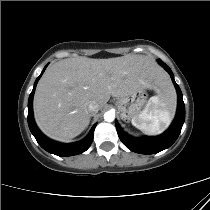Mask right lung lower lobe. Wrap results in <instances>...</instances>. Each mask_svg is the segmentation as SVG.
Wrapping results in <instances>:
<instances>
[{"mask_svg": "<svg viewBox=\"0 0 210 210\" xmlns=\"http://www.w3.org/2000/svg\"><path fill=\"white\" fill-rule=\"evenodd\" d=\"M47 66L44 67L42 73L40 76L36 79L34 83V88L29 96L28 100V125L30 128L31 133L34 135L35 139L39 143V145L45 149L46 151L58 155V156H73V155H78L80 153L85 152L89 146L92 143L93 136H94V129L96 124L92 127L90 130L88 136L79 142L75 143H70V144H63V143H58L55 141H52L45 137L40 130L37 128L34 118H33V109H32V101H33V96L36 88V84L40 77L42 76L43 72L45 71Z\"/></svg>", "mask_w": 210, "mask_h": 210, "instance_id": "1", "label": "right lung lower lobe"}]
</instances>
